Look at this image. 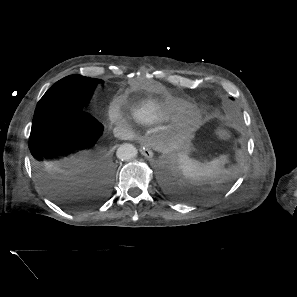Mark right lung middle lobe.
<instances>
[{
  "mask_svg": "<svg viewBox=\"0 0 297 297\" xmlns=\"http://www.w3.org/2000/svg\"><path fill=\"white\" fill-rule=\"evenodd\" d=\"M98 83L103 81L81 75H70L59 80L38 102L32 124L43 121L59 110L75 108L84 111Z\"/></svg>",
  "mask_w": 297,
  "mask_h": 297,
  "instance_id": "right-lung-middle-lobe-1",
  "label": "right lung middle lobe"
}]
</instances>
